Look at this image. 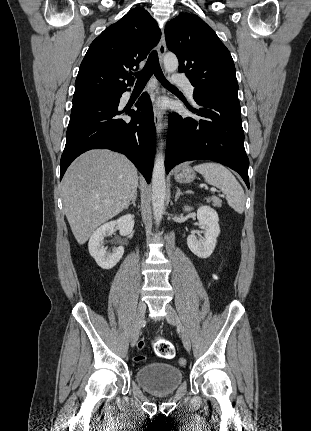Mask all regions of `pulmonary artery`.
Wrapping results in <instances>:
<instances>
[{
    "mask_svg": "<svg viewBox=\"0 0 311 431\" xmlns=\"http://www.w3.org/2000/svg\"><path fill=\"white\" fill-rule=\"evenodd\" d=\"M176 82L184 89V91L190 98H193L194 87L190 81H176Z\"/></svg>",
    "mask_w": 311,
    "mask_h": 431,
    "instance_id": "pulmonary-artery-1",
    "label": "pulmonary artery"
}]
</instances>
